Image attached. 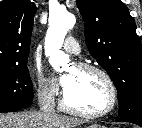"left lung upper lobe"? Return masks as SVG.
<instances>
[{
  "label": "left lung upper lobe",
  "instance_id": "left-lung-upper-lobe-1",
  "mask_svg": "<svg viewBox=\"0 0 142 128\" xmlns=\"http://www.w3.org/2000/svg\"><path fill=\"white\" fill-rule=\"evenodd\" d=\"M92 57L108 72L119 100L118 120H142V45L120 0H77Z\"/></svg>",
  "mask_w": 142,
  "mask_h": 128
}]
</instances>
